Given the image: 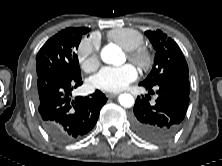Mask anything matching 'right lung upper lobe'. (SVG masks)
<instances>
[{"instance_id": "obj_1", "label": "right lung upper lobe", "mask_w": 222, "mask_h": 166, "mask_svg": "<svg viewBox=\"0 0 222 166\" xmlns=\"http://www.w3.org/2000/svg\"><path fill=\"white\" fill-rule=\"evenodd\" d=\"M85 28V27H84ZM86 30H90L89 28H85Z\"/></svg>"}]
</instances>
